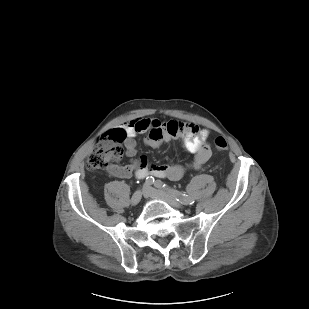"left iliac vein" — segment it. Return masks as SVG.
<instances>
[{"mask_svg": "<svg viewBox=\"0 0 309 309\" xmlns=\"http://www.w3.org/2000/svg\"><path fill=\"white\" fill-rule=\"evenodd\" d=\"M144 195L147 196V197L161 199V200L167 202L169 205H171L175 208H182V204L180 202H178L173 196H171L170 194H168L164 191L152 188L150 186H145Z\"/></svg>", "mask_w": 309, "mask_h": 309, "instance_id": "obj_1", "label": "left iliac vein"}]
</instances>
